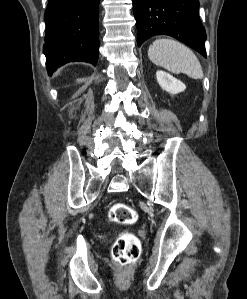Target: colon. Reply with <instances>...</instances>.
Returning a JSON list of instances; mask_svg holds the SVG:
<instances>
[{"instance_id":"obj_1","label":"colon","mask_w":247,"mask_h":299,"mask_svg":"<svg viewBox=\"0 0 247 299\" xmlns=\"http://www.w3.org/2000/svg\"><path fill=\"white\" fill-rule=\"evenodd\" d=\"M138 218L136 210L125 204L115 203L109 210V219L116 224L130 225L136 222ZM141 251V244L138 237L128 231L120 232L112 245L113 260L124 267L133 265Z\"/></svg>"}]
</instances>
